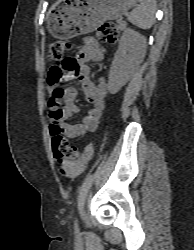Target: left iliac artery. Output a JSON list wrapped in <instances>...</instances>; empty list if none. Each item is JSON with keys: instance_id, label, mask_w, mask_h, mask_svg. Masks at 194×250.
I'll return each mask as SVG.
<instances>
[{"instance_id": "1", "label": "left iliac artery", "mask_w": 194, "mask_h": 250, "mask_svg": "<svg viewBox=\"0 0 194 250\" xmlns=\"http://www.w3.org/2000/svg\"><path fill=\"white\" fill-rule=\"evenodd\" d=\"M74 229H75V233L79 235L80 231H79V225H78L77 218L75 219Z\"/></svg>"}]
</instances>
